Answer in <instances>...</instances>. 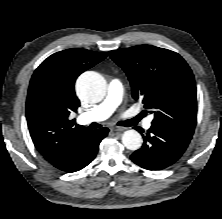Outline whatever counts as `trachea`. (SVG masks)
<instances>
[{
  "label": "trachea",
  "instance_id": "3493384b",
  "mask_svg": "<svg viewBox=\"0 0 222 219\" xmlns=\"http://www.w3.org/2000/svg\"><path fill=\"white\" fill-rule=\"evenodd\" d=\"M142 117H143V116L140 114V115H138L137 117H135V118H133V119H131V120L123 121V122H120L119 124H120L121 126H134V125H136V124L138 123V121H139ZM99 127H101V125L98 124V123H92V124L89 126L90 129H96V128H99Z\"/></svg>",
  "mask_w": 222,
  "mask_h": 219
}]
</instances>
